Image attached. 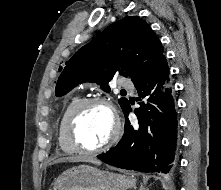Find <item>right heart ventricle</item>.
Masks as SVG:
<instances>
[{
  "mask_svg": "<svg viewBox=\"0 0 221 190\" xmlns=\"http://www.w3.org/2000/svg\"><path fill=\"white\" fill-rule=\"evenodd\" d=\"M84 100V98L81 95H74L69 99V101L66 103L65 107L63 108L59 122L57 127V139H58V145L62 152L66 154H72L75 153L76 150L71 145L67 138L66 133V122L70 115V113L73 111V109Z\"/></svg>",
  "mask_w": 221,
  "mask_h": 190,
  "instance_id": "obj_1",
  "label": "right heart ventricle"
}]
</instances>
